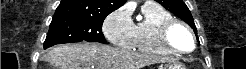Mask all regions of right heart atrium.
Masks as SVG:
<instances>
[{
	"label": "right heart atrium",
	"mask_w": 246,
	"mask_h": 69,
	"mask_svg": "<svg viewBox=\"0 0 246 69\" xmlns=\"http://www.w3.org/2000/svg\"><path fill=\"white\" fill-rule=\"evenodd\" d=\"M103 33L114 46H132L134 23L127 9L121 7L111 12L103 22Z\"/></svg>",
	"instance_id": "1"
}]
</instances>
